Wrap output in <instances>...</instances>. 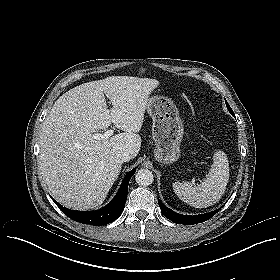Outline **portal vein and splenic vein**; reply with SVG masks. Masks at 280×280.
Instances as JSON below:
<instances>
[{"mask_svg":"<svg viewBox=\"0 0 280 280\" xmlns=\"http://www.w3.org/2000/svg\"><path fill=\"white\" fill-rule=\"evenodd\" d=\"M113 134H114V130L110 129V130L105 131L103 134L95 133V134L93 135V138H94V139H97V140L108 139V138H110Z\"/></svg>","mask_w":280,"mask_h":280,"instance_id":"obj_1","label":"portal vein and splenic vein"}]
</instances>
